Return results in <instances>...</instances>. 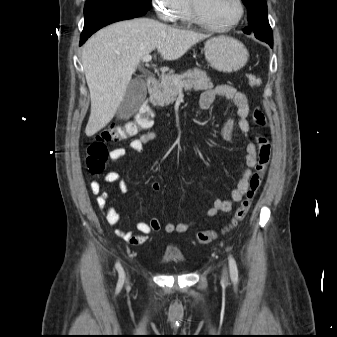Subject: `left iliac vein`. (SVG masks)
<instances>
[{"label": "left iliac vein", "instance_id": "1", "mask_svg": "<svg viewBox=\"0 0 337 337\" xmlns=\"http://www.w3.org/2000/svg\"><path fill=\"white\" fill-rule=\"evenodd\" d=\"M222 279L224 282L228 281V273L226 269L223 270Z\"/></svg>", "mask_w": 337, "mask_h": 337}]
</instances>
